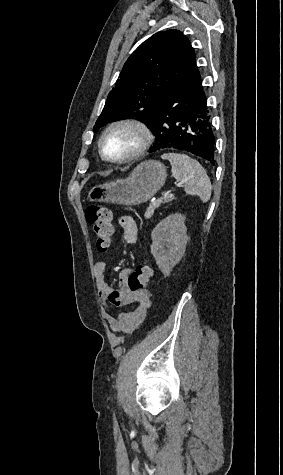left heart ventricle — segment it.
Wrapping results in <instances>:
<instances>
[{"mask_svg":"<svg viewBox=\"0 0 283 475\" xmlns=\"http://www.w3.org/2000/svg\"><path fill=\"white\" fill-rule=\"evenodd\" d=\"M140 137V132L135 128H118L104 139V153L111 158L126 155L135 148Z\"/></svg>","mask_w":283,"mask_h":475,"instance_id":"obj_1","label":"left heart ventricle"}]
</instances>
